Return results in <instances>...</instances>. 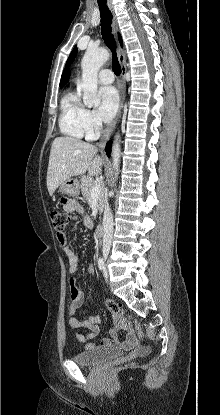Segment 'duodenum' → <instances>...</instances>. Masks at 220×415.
I'll return each mask as SVG.
<instances>
[{"instance_id":"duodenum-1","label":"duodenum","mask_w":220,"mask_h":415,"mask_svg":"<svg viewBox=\"0 0 220 415\" xmlns=\"http://www.w3.org/2000/svg\"><path fill=\"white\" fill-rule=\"evenodd\" d=\"M95 236L98 239L103 238V236H104V224H100L95 228Z\"/></svg>"}]
</instances>
